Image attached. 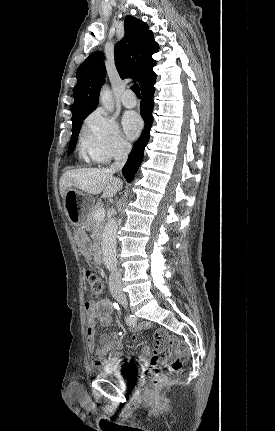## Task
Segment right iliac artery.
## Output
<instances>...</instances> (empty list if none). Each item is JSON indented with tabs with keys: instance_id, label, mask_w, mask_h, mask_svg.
Here are the masks:
<instances>
[{
	"instance_id": "1",
	"label": "right iliac artery",
	"mask_w": 275,
	"mask_h": 431,
	"mask_svg": "<svg viewBox=\"0 0 275 431\" xmlns=\"http://www.w3.org/2000/svg\"><path fill=\"white\" fill-rule=\"evenodd\" d=\"M126 323H127V325L134 327L136 325L137 321H136V318L134 316L130 315L126 318Z\"/></svg>"
}]
</instances>
